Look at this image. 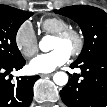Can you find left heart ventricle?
I'll return each mask as SVG.
<instances>
[{
  "label": "left heart ventricle",
  "mask_w": 107,
  "mask_h": 107,
  "mask_svg": "<svg viewBox=\"0 0 107 107\" xmlns=\"http://www.w3.org/2000/svg\"><path fill=\"white\" fill-rule=\"evenodd\" d=\"M74 45H75L74 38H70L65 41H60V40L53 38V41L51 44V49L55 50V49L61 48V49H64V50L70 52L71 49L74 47Z\"/></svg>",
  "instance_id": "b2bd125f"
}]
</instances>
